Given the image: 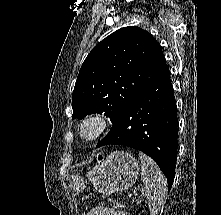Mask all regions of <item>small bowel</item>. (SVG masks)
I'll return each mask as SVG.
<instances>
[{
  "label": "small bowel",
  "instance_id": "obj_1",
  "mask_svg": "<svg viewBox=\"0 0 221 215\" xmlns=\"http://www.w3.org/2000/svg\"><path fill=\"white\" fill-rule=\"evenodd\" d=\"M86 215H130V214L123 211H119L114 207H96L90 210Z\"/></svg>",
  "mask_w": 221,
  "mask_h": 215
}]
</instances>
